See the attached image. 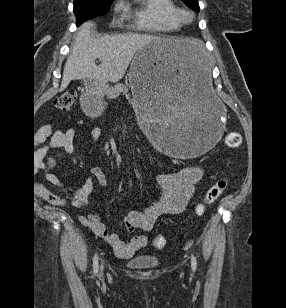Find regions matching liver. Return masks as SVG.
<instances>
[{
	"mask_svg": "<svg viewBox=\"0 0 286 308\" xmlns=\"http://www.w3.org/2000/svg\"><path fill=\"white\" fill-rule=\"evenodd\" d=\"M94 23L80 26L71 53L64 66L60 91L72 80L93 79L100 85L108 81L118 82L123 78L135 53L143 46L162 38L128 33L122 35L92 36ZM174 56L184 61L198 57L202 52V42L190 38H166ZM99 58L100 65L95 64Z\"/></svg>",
	"mask_w": 286,
	"mask_h": 308,
	"instance_id": "obj_1",
	"label": "liver"
}]
</instances>
